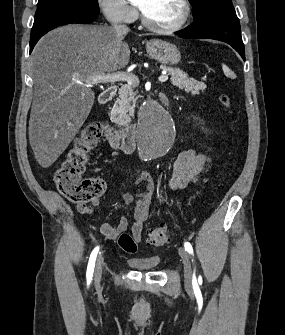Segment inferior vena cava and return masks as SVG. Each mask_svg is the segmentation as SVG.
<instances>
[{"mask_svg":"<svg viewBox=\"0 0 285 335\" xmlns=\"http://www.w3.org/2000/svg\"><path fill=\"white\" fill-rule=\"evenodd\" d=\"M114 30H116V32H118V34H128L129 32V28H127V26H121V24H118V20H114L113 24H112Z\"/></svg>","mask_w":285,"mask_h":335,"instance_id":"602c4592","label":"inferior vena cava"}]
</instances>
